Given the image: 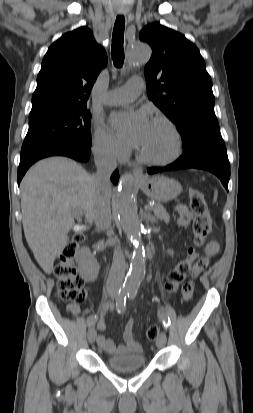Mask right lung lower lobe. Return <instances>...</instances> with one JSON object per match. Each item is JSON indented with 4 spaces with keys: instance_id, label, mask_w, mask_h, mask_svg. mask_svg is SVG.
<instances>
[{
    "instance_id": "1",
    "label": "right lung lower lobe",
    "mask_w": 253,
    "mask_h": 413,
    "mask_svg": "<svg viewBox=\"0 0 253 413\" xmlns=\"http://www.w3.org/2000/svg\"><path fill=\"white\" fill-rule=\"evenodd\" d=\"M91 154V146H84V145H69V144H62L56 145L52 147H47L27 153H23L20 156V165L18 168V184L20 183L22 177L28 170V168L35 163L36 161L49 157V156H67L71 157L77 161L86 162ZM119 174L118 171H115L112 176L111 180L114 184L118 182Z\"/></svg>"
}]
</instances>
